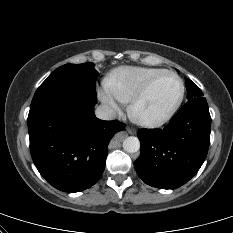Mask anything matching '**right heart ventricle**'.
<instances>
[{
    "label": "right heart ventricle",
    "mask_w": 233,
    "mask_h": 233,
    "mask_svg": "<svg viewBox=\"0 0 233 233\" xmlns=\"http://www.w3.org/2000/svg\"><path fill=\"white\" fill-rule=\"evenodd\" d=\"M163 70L153 67H121L106 77L104 87L116 100L129 103L150 78Z\"/></svg>",
    "instance_id": "1"
}]
</instances>
